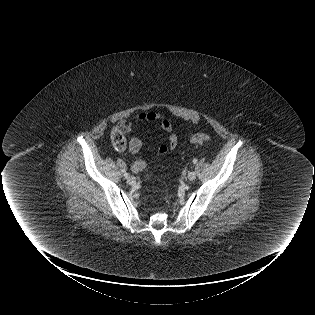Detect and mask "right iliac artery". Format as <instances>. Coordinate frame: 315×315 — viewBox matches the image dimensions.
<instances>
[{
	"mask_svg": "<svg viewBox=\"0 0 315 315\" xmlns=\"http://www.w3.org/2000/svg\"><path fill=\"white\" fill-rule=\"evenodd\" d=\"M124 177H125V178H128V177H129V174L125 172V173H124Z\"/></svg>",
	"mask_w": 315,
	"mask_h": 315,
	"instance_id": "right-iliac-artery-1",
	"label": "right iliac artery"
}]
</instances>
